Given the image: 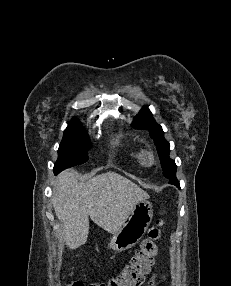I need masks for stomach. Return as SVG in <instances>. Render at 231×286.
<instances>
[{
	"instance_id": "stomach-1",
	"label": "stomach",
	"mask_w": 231,
	"mask_h": 286,
	"mask_svg": "<svg viewBox=\"0 0 231 286\" xmlns=\"http://www.w3.org/2000/svg\"><path fill=\"white\" fill-rule=\"evenodd\" d=\"M153 217V208L149 201L138 202L128 215L120 229L115 232L108 248L124 251L136 245L147 231Z\"/></svg>"
}]
</instances>
